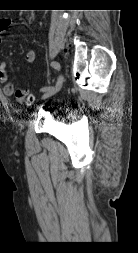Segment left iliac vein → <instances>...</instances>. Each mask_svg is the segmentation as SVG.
I'll list each match as a JSON object with an SVG mask.
<instances>
[{
  "instance_id": "1",
  "label": "left iliac vein",
  "mask_w": 138,
  "mask_h": 253,
  "mask_svg": "<svg viewBox=\"0 0 138 253\" xmlns=\"http://www.w3.org/2000/svg\"><path fill=\"white\" fill-rule=\"evenodd\" d=\"M63 81H64V77L62 74H60L57 78L56 83L53 86L49 87L46 91H44L41 98L47 99L53 96L54 94H56L62 88Z\"/></svg>"
}]
</instances>
